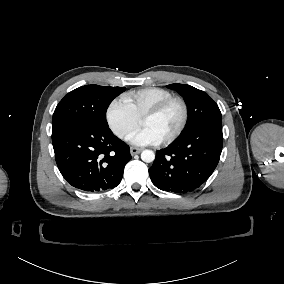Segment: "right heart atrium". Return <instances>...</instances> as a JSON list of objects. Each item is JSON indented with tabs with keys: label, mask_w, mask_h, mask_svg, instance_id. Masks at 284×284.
<instances>
[{
	"label": "right heart atrium",
	"mask_w": 284,
	"mask_h": 284,
	"mask_svg": "<svg viewBox=\"0 0 284 284\" xmlns=\"http://www.w3.org/2000/svg\"><path fill=\"white\" fill-rule=\"evenodd\" d=\"M140 118L120 98L109 102L105 110V121L110 132L120 140H126L128 135L138 126Z\"/></svg>",
	"instance_id": "right-heart-atrium-1"
}]
</instances>
